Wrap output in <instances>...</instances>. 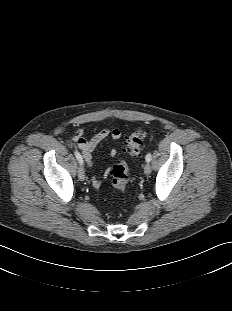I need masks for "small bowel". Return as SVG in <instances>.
<instances>
[{"mask_svg": "<svg viewBox=\"0 0 232 311\" xmlns=\"http://www.w3.org/2000/svg\"><path fill=\"white\" fill-rule=\"evenodd\" d=\"M84 130L82 128L77 129L71 140L73 144L82 152L86 164L88 167L92 166V156L91 153L96 149V147L107 137H111L112 140L120 139L122 132L118 128L109 129L103 128L99 132H97L91 139L86 140L83 137ZM117 154L115 149L110 151V156L114 157ZM93 184L98 187L100 185V181L95 177L92 178Z\"/></svg>", "mask_w": 232, "mask_h": 311, "instance_id": "small-bowel-1", "label": "small bowel"}]
</instances>
